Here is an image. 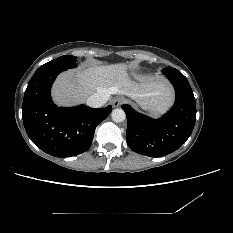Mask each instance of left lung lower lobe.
<instances>
[{
  "instance_id": "left-lung-lower-lobe-1",
  "label": "left lung lower lobe",
  "mask_w": 233,
  "mask_h": 233,
  "mask_svg": "<svg viewBox=\"0 0 233 233\" xmlns=\"http://www.w3.org/2000/svg\"><path fill=\"white\" fill-rule=\"evenodd\" d=\"M163 73L176 92L174 106L161 118L152 119L122 105L127 117V144L136 153L161 157L178 149L191 135L196 120L193 91L186 77L169 67Z\"/></svg>"
}]
</instances>
